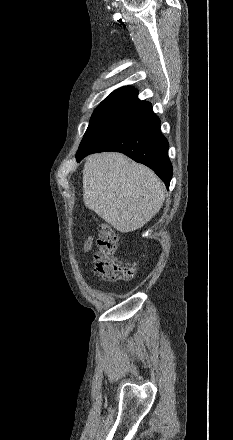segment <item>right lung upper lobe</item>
<instances>
[{"instance_id":"right-lung-upper-lobe-1","label":"right lung upper lobe","mask_w":233,"mask_h":440,"mask_svg":"<svg viewBox=\"0 0 233 440\" xmlns=\"http://www.w3.org/2000/svg\"><path fill=\"white\" fill-rule=\"evenodd\" d=\"M138 97V91L130 86L121 87L113 91L102 103H112L127 105L135 101Z\"/></svg>"}]
</instances>
